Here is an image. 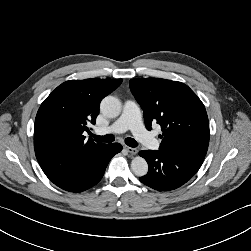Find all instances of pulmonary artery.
<instances>
[{"label":"pulmonary artery","mask_w":251,"mask_h":251,"mask_svg":"<svg viewBox=\"0 0 251 251\" xmlns=\"http://www.w3.org/2000/svg\"><path fill=\"white\" fill-rule=\"evenodd\" d=\"M131 130L138 141L150 149H158L159 141L143 126L138 104L134 100H126L121 116L110 126L95 129L97 135L122 133Z\"/></svg>","instance_id":"pulmonary-artery-1"}]
</instances>
